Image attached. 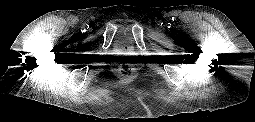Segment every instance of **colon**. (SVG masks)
Returning a JSON list of instances; mask_svg holds the SVG:
<instances>
[{"mask_svg": "<svg viewBox=\"0 0 255 122\" xmlns=\"http://www.w3.org/2000/svg\"><path fill=\"white\" fill-rule=\"evenodd\" d=\"M119 71L122 75H130L132 73V68L131 66L125 64V65H122L120 68H119Z\"/></svg>", "mask_w": 255, "mask_h": 122, "instance_id": "obj_1", "label": "colon"}]
</instances>
